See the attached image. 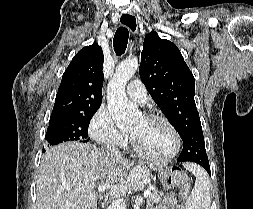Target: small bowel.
Instances as JSON below:
<instances>
[{
    "label": "small bowel",
    "instance_id": "small-bowel-1",
    "mask_svg": "<svg viewBox=\"0 0 253 209\" xmlns=\"http://www.w3.org/2000/svg\"><path fill=\"white\" fill-rule=\"evenodd\" d=\"M153 209H183L177 206V199L174 193H168L163 200Z\"/></svg>",
    "mask_w": 253,
    "mask_h": 209
}]
</instances>
